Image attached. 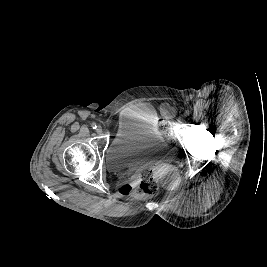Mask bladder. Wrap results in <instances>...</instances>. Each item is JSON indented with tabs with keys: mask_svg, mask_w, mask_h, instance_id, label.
Listing matches in <instances>:
<instances>
[{
	"mask_svg": "<svg viewBox=\"0 0 267 267\" xmlns=\"http://www.w3.org/2000/svg\"><path fill=\"white\" fill-rule=\"evenodd\" d=\"M164 144L154 111L146 106L126 109L106 152V166L111 171L136 167L150 159Z\"/></svg>",
	"mask_w": 267,
	"mask_h": 267,
	"instance_id": "obj_1",
	"label": "bladder"
}]
</instances>
